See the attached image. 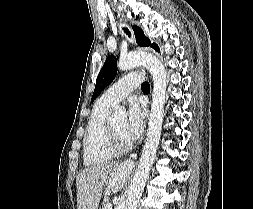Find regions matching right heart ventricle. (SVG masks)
<instances>
[{
  "instance_id": "1",
  "label": "right heart ventricle",
  "mask_w": 253,
  "mask_h": 209,
  "mask_svg": "<svg viewBox=\"0 0 253 209\" xmlns=\"http://www.w3.org/2000/svg\"><path fill=\"white\" fill-rule=\"evenodd\" d=\"M112 108L101 98L94 105L83 142V162L86 166L105 163L116 155L109 148L107 138V119Z\"/></svg>"
}]
</instances>
